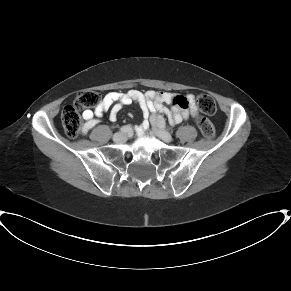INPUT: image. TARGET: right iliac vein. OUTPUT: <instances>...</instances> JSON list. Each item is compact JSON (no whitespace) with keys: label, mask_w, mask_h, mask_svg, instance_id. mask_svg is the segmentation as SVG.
I'll list each match as a JSON object with an SVG mask.
<instances>
[{"label":"right iliac vein","mask_w":291,"mask_h":291,"mask_svg":"<svg viewBox=\"0 0 291 291\" xmlns=\"http://www.w3.org/2000/svg\"><path fill=\"white\" fill-rule=\"evenodd\" d=\"M126 138H127V136L124 133H116L113 136V140L117 143L125 141Z\"/></svg>","instance_id":"obj_1"}]
</instances>
